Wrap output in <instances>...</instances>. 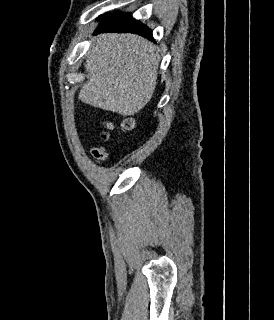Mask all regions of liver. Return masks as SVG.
I'll return each mask as SVG.
<instances>
[{"instance_id": "obj_1", "label": "liver", "mask_w": 274, "mask_h": 320, "mask_svg": "<svg viewBox=\"0 0 274 320\" xmlns=\"http://www.w3.org/2000/svg\"><path fill=\"white\" fill-rule=\"evenodd\" d=\"M159 50L135 34H100L91 40L84 66L88 82L78 100L134 116L150 102L157 86Z\"/></svg>"}]
</instances>
